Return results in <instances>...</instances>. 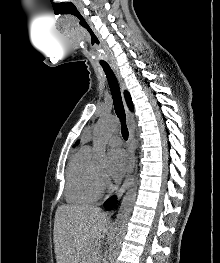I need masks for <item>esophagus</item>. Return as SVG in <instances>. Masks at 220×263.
Returning a JSON list of instances; mask_svg holds the SVG:
<instances>
[{
  "instance_id": "esophagus-1",
  "label": "esophagus",
  "mask_w": 220,
  "mask_h": 263,
  "mask_svg": "<svg viewBox=\"0 0 220 263\" xmlns=\"http://www.w3.org/2000/svg\"><path fill=\"white\" fill-rule=\"evenodd\" d=\"M117 78L120 83L121 89L124 91L125 85L123 83L122 78L120 77L119 73H117ZM124 107H125V113H126V119H127V124H128V131H129V138H128V154H129V166L127 169L126 177L124 179L123 184L119 188V190L116 193L117 199L119 200L122 195L125 193L126 189L128 188L131 178H132V173L134 170L135 166V141H134V115L131 113L129 110L126 102L124 101ZM113 211L109 212V215H112Z\"/></svg>"
}]
</instances>
